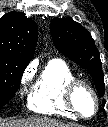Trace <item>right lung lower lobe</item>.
<instances>
[{
    "mask_svg": "<svg viewBox=\"0 0 108 127\" xmlns=\"http://www.w3.org/2000/svg\"><path fill=\"white\" fill-rule=\"evenodd\" d=\"M4 104H6V103H0V107L3 106Z\"/></svg>",
    "mask_w": 108,
    "mask_h": 127,
    "instance_id": "1",
    "label": "right lung lower lobe"
}]
</instances>
